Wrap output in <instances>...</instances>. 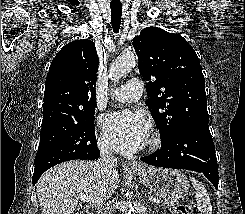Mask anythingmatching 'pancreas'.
<instances>
[{
  "instance_id": "cf45deb5",
  "label": "pancreas",
  "mask_w": 245,
  "mask_h": 214,
  "mask_svg": "<svg viewBox=\"0 0 245 214\" xmlns=\"http://www.w3.org/2000/svg\"><path fill=\"white\" fill-rule=\"evenodd\" d=\"M161 202H162L161 206H163V207H167L170 204V201L166 200V199L162 200ZM113 210H114V207H106L103 209L102 214H112L111 211H113Z\"/></svg>"
}]
</instances>
